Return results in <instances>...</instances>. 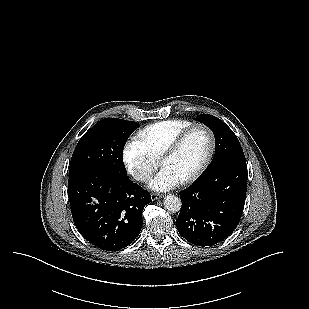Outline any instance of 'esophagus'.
<instances>
[{
    "mask_svg": "<svg viewBox=\"0 0 309 309\" xmlns=\"http://www.w3.org/2000/svg\"><path fill=\"white\" fill-rule=\"evenodd\" d=\"M161 197H162L161 194H157V193H152V194H151V199H152V201H155V200H157V199H159V198H161Z\"/></svg>",
    "mask_w": 309,
    "mask_h": 309,
    "instance_id": "esophagus-1",
    "label": "esophagus"
}]
</instances>
